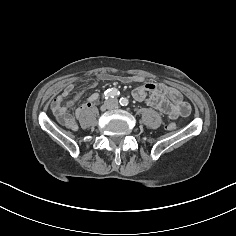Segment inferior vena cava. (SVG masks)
I'll use <instances>...</instances> for the list:
<instances>
[{"label":"inferior vena cava","mask_w":236,"mask_h":236,"mask_svg":"<svg viewBox=\"0 0 236 236\" xmlns=\"http://www.w3.org/2000/svg\"><path fill=\"white\" fill-rule=\"evenodd\" d=\"M118 106V100L116 98H109L104 102L106 109H114Z\"/></svg>","instance_id":"inferior-vena-cava-1"}]
</instances>
